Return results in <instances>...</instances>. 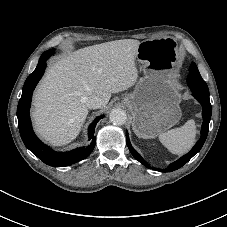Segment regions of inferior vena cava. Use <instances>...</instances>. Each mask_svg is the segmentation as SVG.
I'll list each match as a JSON object with an SVG mask.
<instances>
[{"label":"inferior vena cava","mask_w":227,"mask_h":227,"mask_svg":"<svg viewBox=\"0 0 227 227\" xmlns=\"http://www.w3.org/2000/svg\"><path fill=\"white\" fill-rule=\"evenodd\" d=\"M86 105L90 109H98L104 105V101L100 96L93 95L88 98Z\"/></svg>","instance_id":"602c4592"}]
</instances>
